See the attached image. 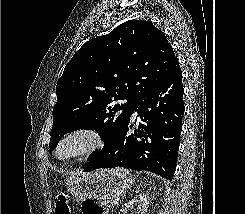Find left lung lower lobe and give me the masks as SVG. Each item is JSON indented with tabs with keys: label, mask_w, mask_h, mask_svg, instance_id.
<instances>
[{
	"label": "left lung lower lobe",
	"mask_w": 245,
	"mask_h": 214,
	"mask_svg": "<svg viewBox=\"0 0 245 214\" xmlns=\"http://www.w3.org/2000/svg\"><path fill=\"white\" fill-rule=\"evenodd\" d=\"M182 72L179 64L136 108L144 124L128 134V120L114 142L94 154L85 172L124 167L145 170L172 180L176 169L184 113ZM135 108V110H136Z\"/></svg>",
	"instance_id": "1"
}]
</instances>
